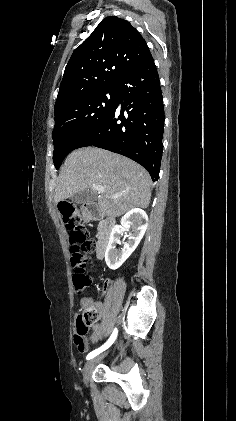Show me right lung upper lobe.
Instances as JSON below:
<instances>
[{"label": "right lung upper lobe", "instance_id": "1", "mask_svg": "<svg viewBox=\"0 0 236 421\" xmlns=\"http://www.w3.org/2000/svg\"><path fill=\"white\" fill-rule=\"evenodd\" d=\"M152 55L141 34L116 16L103 19L73 52L60 84L54 110L89 93L116 88V82Z\"/></svg>", "mask_w": 236, "mask_h": 421}]
</instances>
